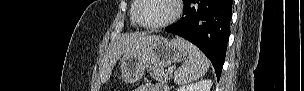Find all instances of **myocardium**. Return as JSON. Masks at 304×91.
Wrapping results in <instances>:
<instances>
[{"instance_id":"myocardium-1","label":"myocardium","mask_w":304,"mask_h":91,"mask_svg":"<svg viewBox=\"0 0 304 91\" xmlns=\"http://www.w3.org/2000/svg\"><path fill=\"white\" fill-rule=\"evenodd\" d=\"M169 1L171 2L172 6H173V13L171 14L170 17H168L164 21L156 23V24H145L140 19V14H139V12L142 8V5H143V0H137L136 7L134 10V19H135L136 23L146 29H160V28L167 27V26L173 24L174 22H176L180 18V16L182 15V12H183L182 1L181 0H169Z\"/></svg>"}]
</instances>
